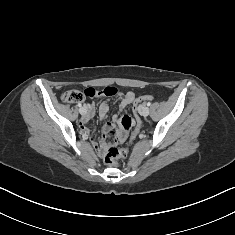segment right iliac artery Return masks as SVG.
Here are the masks:
<instances>
[{
	"label": "right iliac artery",
	"instance_id": "82829eb1",
	"mask_svg": "<svg viewBox=\"0 0 235 235\" xmlns=\"http://www.w3.org/2000/svg\"><path fill=\"white\" fill-rule=\"evenodd\" d=\"M79 107H81L82 105L81 104H78Z\"/></svg>",
	"mask_w": 235,
	"mask_h": 235
}]
</instances>
